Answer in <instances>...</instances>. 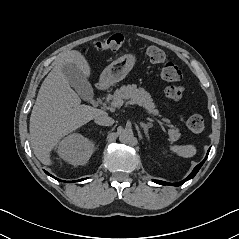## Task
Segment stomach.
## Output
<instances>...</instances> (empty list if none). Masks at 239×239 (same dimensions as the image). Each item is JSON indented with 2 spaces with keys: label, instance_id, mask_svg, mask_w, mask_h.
Masks as SVG:
<instances>
[{
  "label": "stomach",
  "instance_id": "0dacf381",
  "mask_svg": "<svg viewBox=\"0 0 239 239\" xmlns=\"http://www.w3.org/2000/svg\"><path fill=\"white\" fill-rule=\"evenodd\" d=\"M136 62L134 54H125L108 65L100 76V83L108 87L123 80Z\"/></svg>",
  "mask_w": 239,
  "mask_h": 239
}]
</instances>
